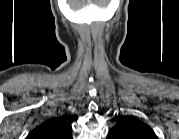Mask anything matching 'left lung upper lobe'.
<instances>
[{
  "instance_id": "5c2ea615",
  "label": "left lung upper lobe",
  "mask_w": 179,
  "mask_h": 139,
  "mask_svg": "<svg viewBox=\"0 0 179 139\" xmlns=\"http://www.w3.org/2000/svg\"><path fill=\"white\" fill-rule=\"evenodd\" d=\"M109 139H157L145 123L133 118H123L109 132Z\"/></svg>"
}]
</instances>
